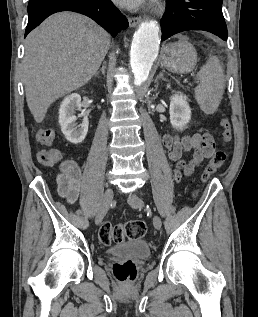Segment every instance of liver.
<instances>
[{"label":"liver","instance_id":"obj_1","mask_svg":"<svg viewBox=\"0 0 258 317\" xmlns=\"http://www.w3.org/2000/svg\"><path fill=\"white\" fill-rule=\"evenodd\" d=\"M110 46V34L77 12H56L29 32L23 76L27 104L42 122L50 104L86 84Z\"/></svg>","mask_w":258,"mask_h":317}]
</instances>
